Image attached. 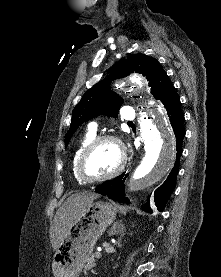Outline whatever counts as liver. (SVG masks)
Here are the masks:
<instances>
[{
    "mask_svg": "<svg viewBox=\"0 0 221 277\" xmlns=\"http://www.w3.org/2000/svg\"><path fill=\"white\" fill-rule=\"evenodd\" d=\"M98 194L92 192H81L71 195L57 210L54 216L53 233L51 244L54 251L67 236L69 228L77 216L95 199Z\"/></svg>",
    "mask_w": 221,
    "mask_h": 277,
    "instance_id": "6515ba94",
    "label": "liver"
}]
</instances>
